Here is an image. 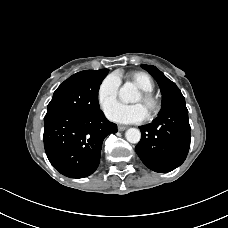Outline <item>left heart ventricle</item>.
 Segmentation results:
<instances>
[{
  "label": "left heart ventricle",
  "mask_w": 228,
  "mask_h": 228,
  "mask_svg": "<svg viewBox=\"0 0 228 228\" xmlns=\"http://www.w3.org/2000/svg\"><path fill=\"white\" fill-rule=\"evenodd\" d=\"M135 103L142 104L146 109L147 113L149 111V106L143 101L141 94H139L134 100Z\"/></svg>",
  "instance_id": "obj_1"
}]
</instances>
